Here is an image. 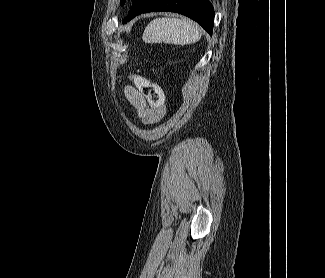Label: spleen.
<instances>
[{
	"label": "spleen",
	"instance_id": "1",
	"mask_svg": "<svg viewBox=\"0 0 325 278\" xmlns=\"http://www.w3.org/2000/svg\"><path fill=\"white\" fill-rule=\"evenodd\" d=\"M201 38L199 27L191 20L183 18H156L144 30L146 43L187 45Z\"/></svg>",
	"mask_w": 325,
	"mask_h": 278
}]
</instances>
